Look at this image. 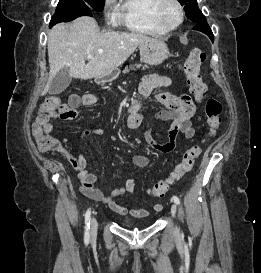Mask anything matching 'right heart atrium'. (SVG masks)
I'll return each mask as SVG.
<instances>
[{
    "mask_svg": "<svg viewBox=\"0 0 261 273\" xmlns=\"http://www.w3.org/2000/svg\"><path fill=\"white\" fill-rule=\"evenodd\" d=\"M113 0H105V7L108 8L112 5Z\"/></svg>",
    "mask_w": 261,
    "mask_h": 273,
    "instance_id": "right-heart-atrium-1",
    "label": "right heart atrium"
}]
</instances>
